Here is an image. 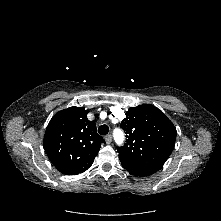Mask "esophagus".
Masks as SVG:
<instances>
[{
  "mask_svg": "<svg viewBox=\"0 0 221 221\" xmlns=\"http://www.w3.org/2000/svg\"><path fill=\"white\" fill-rule=\"evenodd\" d=\"M105 141L107 144H110L112 142V135L108 134L105 136Z\"/></svg>",
  "mask_w": 221,
  "mask_h": 221,
  "instance_id": "34e87169",
  "label": "esophagus"
}]
</instances>
